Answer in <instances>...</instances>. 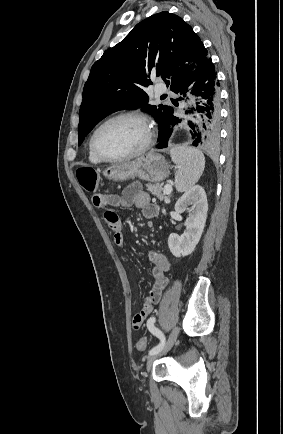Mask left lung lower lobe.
Listing matches in <instances>:
<instances>
[{
	"label": "left lung lower lobe",
	"mask_w": 283,
	"mask_h": 434,
	"mask_svg": "<svg viewBox=\"0 0 283 434\" xmlns=\"http://www.w3.org/2000/svg\"><path fill=\"white\" fill-rule=\"evenodd\" d=\"M189 86H192L191 93L196 97V106L191 111L193 117L187 121L190 127L192 145L215 149L220 140V84L211 58L203 63L187 80L171 90L185 96ZM181 121L173 115L172 110L164 130L158 138L160 141L158 148L167 147L173 126Z\"/></svg>",
	"instance_id": "left-lung-lower-lobe-1"
}]
</instances>
